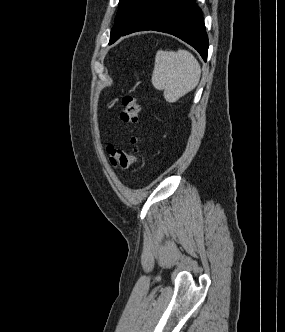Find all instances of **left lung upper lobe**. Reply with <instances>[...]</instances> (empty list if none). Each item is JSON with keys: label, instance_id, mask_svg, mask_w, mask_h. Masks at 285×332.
<instances>
[{"label": "left lung upper lobe", "instance_id": "5c2ea615", "mask_svg": "<svg viewBox=\"0 0 285 332\" xmlns=\"http://www.w3.org/2000/svg\"><path fill=\"white\" fill-rule=\"evenodd\" d=\"M152 0H120L110 42L124 31Z\"/></svg>", "mask_w": 285, "mask_h": 332}]
</instances>
